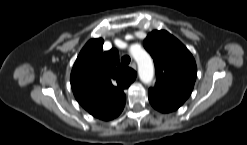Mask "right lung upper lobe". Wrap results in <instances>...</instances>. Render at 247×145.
Segmentation results:
<instances>
[{"label":"right lung upper lobe","instance_id":"right-lung-upper-lobe-1","mask_svg":"<svg viewBox=\"0 0 247 145\" xmlns=\"http://www.w3.org/2000/svg\"><path fill=\"white\" fill-rule=\"evenodd\" d=\"M103 39H91L81 50L71 72V87L79 104L91 115L111 120L123 110V92L136 72L123 67L116 49L103 52Z\"/></svg>","mask_w":247,"mask_h":145}]
</instances>
